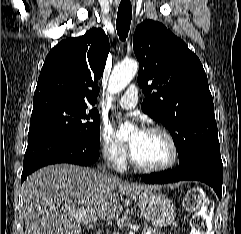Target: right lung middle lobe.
<instances>
[{"label": "right lung middle lobe", "mask_w": 241, "mask_h": 234, "mask_svg": "<svg viewBox=\"0 0 241 234\" xmlns=\"http://www.w3.org/2000/svg\"><path fill=\"white\" fill-rule=\"evenodd\" d=\"M48 135L65 136L92 150L100 147V117L87 105L51 102L33 106L29 140Z\"/></svg>", "instance_id": "1"}]
</instances>
